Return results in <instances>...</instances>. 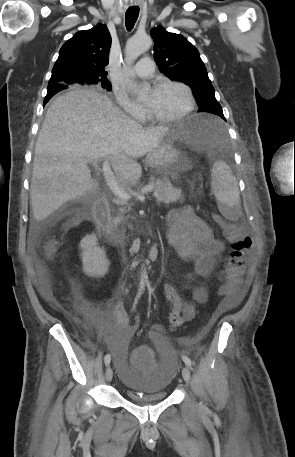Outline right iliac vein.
Here are the masks:
<instances>
[{
    "label": "right iliac vein",
    "mask_w": 295,
    "mask_h": 457,
    "mask_svg": "<svg viewBox=\"0 0 295 457\" xmlns=\"http://www.w3.org/2000/svg\"><path fill=\"white\" fill-rule=\"evenodd\" d=\"M105 377H106V380L108 382H110L112 380V378H113V371H112V368L110 366H108L107 369H106Z\"/></svg>",
    "instance_id": "obj_1"
}]
</instances>
